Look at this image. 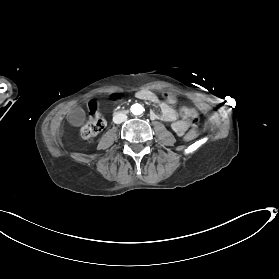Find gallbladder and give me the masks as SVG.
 Returning a JSON list of instances; mask_svg holds the SVG:
<instances>
[{
    "instance_id": "gallbladder-1",
    "label": "gallbladder",
    "mask_w": 279,
    "mask_h": 279,
    "mask_svg": "<svg viewBox=\"0 0 279 279\" xmlns=\"http://www.w3.org/2000/svg\"><path fill=\"white\" fill-rule=\"evenodd\" d=\"M70 121L73 124H80L83 121V114L80 111H73L70 114Z\"/></svg>"
}]
</instances>
